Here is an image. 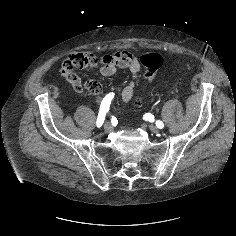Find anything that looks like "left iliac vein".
<instances>
[{"mask_svg": "<svg viewBox=\"0 0 236 236\" xmlns=\"http://www.w3.org/2000/svg\"><path fill=\"white\" fill-rule=\"evenodd\" d=\"M149 129H150V131L153 132V133H158V132H159L158 127H156L155 125H150V126H149Z\"/></svg>", "mask_w": 236, "mask_h": 236, "instance_id": "obj_1", "label": "left iliac vein"}]
</instances>
